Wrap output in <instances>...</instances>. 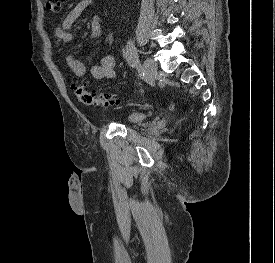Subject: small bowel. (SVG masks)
Segmentation results:
<instances>
[{"label": "small bowel", "mask_w": 275, "mask_h": 263, "mask_svg": "<svg viewBox=\"0 0 275 263\" xmlns=\"http://www.w3.org/2000/svg\"><path fill=\"white\" fill-rule=\"evenodd\" d=\"M93 0H80L64 17L60 26L55 30V35L58 40L64 43H71L74 40L72 27L75 21L92 5ZM102 23L101 18L96 16L92 19L89 28V38L96 39L101 35ZM66 63L72 73L79 78L86 75L85 64L78 60L72 54L66 56ZM116 60L113 56L108 55L103 57L99 63L92 64L89 67V72L94 79H112L116 75L115 71Z\"/></svg>", "instance_id": "1"}]
</instances>
